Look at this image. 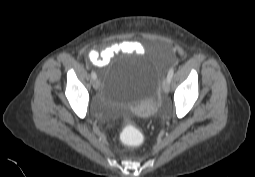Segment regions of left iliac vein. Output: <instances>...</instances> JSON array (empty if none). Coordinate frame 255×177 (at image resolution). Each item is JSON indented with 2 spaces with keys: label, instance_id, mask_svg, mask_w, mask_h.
<instances>
[{
  "label": "left iliac vein",
  "instance_id": "obj_1",
  "mask_svg": "<svg viewBox=\"0 0 255 177\" xmlns=\"http://www.w3.org/2000/svg\"><path fill=\"white\" fill-rule=\"evenodd\" d=\"M170 90V82L168 81V79L166 78L164 83H163V92L164 93H168Z\"/></svg>",
  "mask_w": 255,
  "mask_h": 177
}]
</instances>
